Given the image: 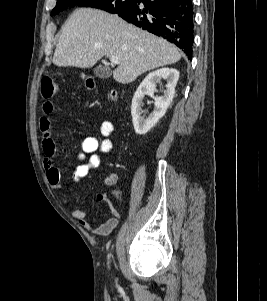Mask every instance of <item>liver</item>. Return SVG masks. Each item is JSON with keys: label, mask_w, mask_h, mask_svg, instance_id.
I'll use <instances>...</instances> for the list:
<instances>
[{"label": "liver", "mask_w": 267, "mask_h": 301, "mask_svg": "<svg viewBox=\"0 0 267 301\" xmlns=\"http://www.w3.org/2000/svg\"><path fill=\"white\" fill-rule=\"evenodd\" d=\"M117 56L113 78L122 84L181 59L179 50L117 15L92 8L75 10L62 28L53 63L59 67L88 68L104 56Z\"/></svg>", "instance_id": "1"}]
</instances>
